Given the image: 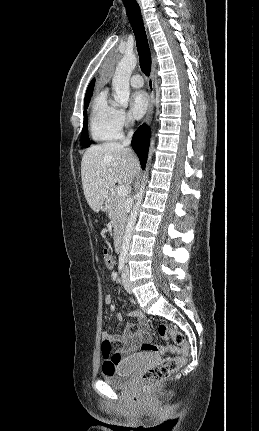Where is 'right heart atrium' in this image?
Instances as JSON below:
<instances>
[{
  "mask_svg": "<svg viewBox=\"0 0 259 431\" xmlns=\"http://www.w3.org/2000/svg\"><path fill=\"white\" fill-rule=\"evenodd\" d=\"M114 122L121 130L133 124L131 115L122 108H116L114 112Z\"/></svg>",
  "mask_w": 259,
  "mask_h": 431,
  "instance_id": "obj_1",
  "label": "right heart atrium"
}]
</instances>
